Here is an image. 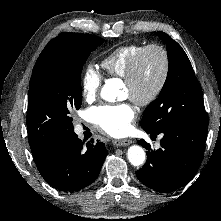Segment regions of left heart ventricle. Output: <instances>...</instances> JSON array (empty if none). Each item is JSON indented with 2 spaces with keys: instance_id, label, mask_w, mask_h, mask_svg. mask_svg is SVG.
Masks as SVG:
<instances>
[{
  "instance_id": "left-heart-ventricle-1",
  "label": "left heart ventricle",
  "mask_w": 221,
  "mask_h": 221,
  "mask_svg": "<svg viewBox=\"0 0 221 221\" xmlns=\"http://www.w3.org/2000/svg\"><path fill=\"white\" fill-rule=\"evenodd\" d=\"M161 72V55L156 51L149 52L144 57L134 87L129 88L127 85H125V94L128 97H130L132 94L137 97L147 96L158 83Z\"/></svg>"
}]
</instances>
